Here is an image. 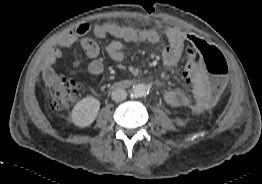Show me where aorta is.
I'll list each match as a JSON object with an SVG mask.
<instances>
[{
	"label": "aorta",
	"instance_id": "762f6f07",
	"mask_svg": "<svg viewBox=\"0 0 262 184\" xmlns=\"http://www.w3.org/2000/svg\"><path fill=\"white\" fill-rule=\"evenodd\" d=\"M148 93V87L145 84H137L133 86L131 95L134 97H142Z\"/></svg>",
	"mask_w": 262,
	"mask_h": 184
}]
</instances>
